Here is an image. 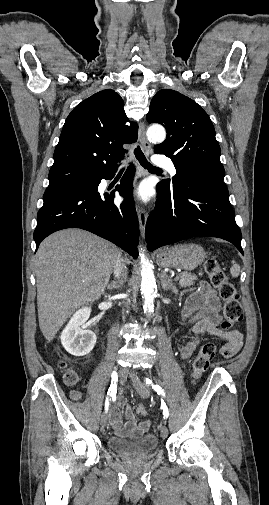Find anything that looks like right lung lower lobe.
<instances>
[{
    "mask_svg": "<svg viewBox=\"0 0 269 505\" xmlns=\"http://www.w3.org/2000/svg\"><path fill=\"white\" fill-rule=\"evenodd\" d=\"M116 169L89 179L83 185L46 190L33 235L36 249L53 232L81 228L113 242L136 259L139 226L131 195L134 166L128 167L117 186L125 197L119 206L113 203L114 193L100 194L97 191L101 179H111Z\"/></svg>",
    "mask_w": 269,
    "mask_h": 505,
    "instance_id": "right-lung-lower-lobe-1",
    "label": "right lung lower lobe"
}]
</instances>
